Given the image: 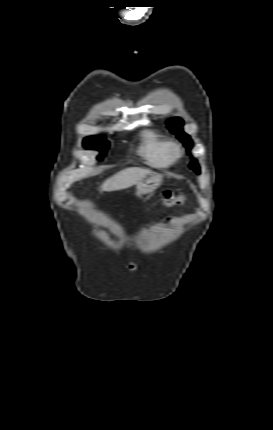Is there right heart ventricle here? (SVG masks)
I'll list each match as a JSON object with an SVG mask.
<instances>
[{"instance_id":"right-heart-ventricle-1","label":"right heart ventricle","mask_w":273,"mask_h":430,"mask_svg":"<svg viewBox=\"0 0 273 430\" xmlns=\"http://www.w3.org/2000/svg\"><path fill=\"white\" fill-rule=\"evenodd\" d=\"M171 141L154 131H146L141 136L139 154L147 165L153 168H167L173 160L169 154Z\"/></svg>"}]
</instances>
